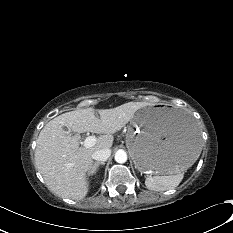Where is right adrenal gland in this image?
I'll return each instance as SVG.
<instances>
[{
	"label": "right adrenal gland",
	"mask_w": 233,
	"mask_h": 233,
	"mask_svg": "<svg viewBox=\"0 0 233 233\" xmlns=\"http://www.w3.org/2000/svg\"><path fill=\"white\" fill-rule=\"evenodd\" d=\"M100 165H105V162H96V163L93 165L90 174L93 175L94 173H96V171H97V169H98V167H99Z\"/></svg>",
	"instance_id": "right-adrenal-gland-1"
}]
</instances>
